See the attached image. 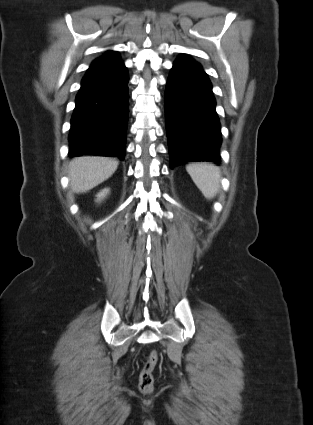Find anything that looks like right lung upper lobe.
Segmentation results:
<instances>
[{"mask_svg": "<svg viewBox=\"0 0 313 425\" xmlns=\"http://www.w3.org/2000/svg\"><path fill=\"white\" fill-rule=\"evenodd\" d=\"M106 53H108V54H117V53H115L113 51H107Z\"/></svg>", "mask_w": 313, "mask_h": 425, "instance_id": "right-lung-upper-lobe-1", "label": "right lung upper lobe"}]
</instances>
